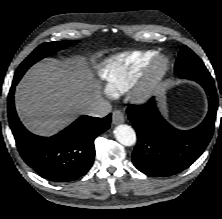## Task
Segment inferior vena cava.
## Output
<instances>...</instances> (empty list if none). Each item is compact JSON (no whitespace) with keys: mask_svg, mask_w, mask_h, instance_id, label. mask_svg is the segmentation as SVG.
Returning a JSON list of instances; mask_svg holds the SVG:
<instances>
[{"mask_svg":"<svg viewBox=\"0 0 222 219\" xmlns=\"http://www.w3.org/2000/svg\"><path fill=\"white\" fill-rule=\"evenodd\" d=\"M112 110V106L108 101L101 100L98 103L89 107L85 114L94 116V117H105L108 115Z\"/></svg>","mask_w":222,"mask_h":219,"instance_id":"1","label":"inferior vena cava"}]
</instances>
